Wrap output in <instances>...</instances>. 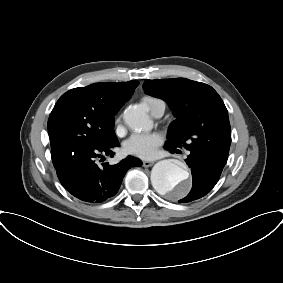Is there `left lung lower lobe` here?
Masks as SVG:
<instances>
[{
  "label": "left lung lower lobe",
  "instance_id": "left-lung-lower-lobe-1",
  "mask_svg": "<svg viewBox=\"0 0 283 283\" xmlns=\"http://www.w3.org/2000/svg\"><path fill=\"white\" fill-rule=\"evenodd\" d=\"M173 153L177 148L164 146ZM191 168L193 185L190 193L179 202H190L205 196L217 183L227 158H212L202 152L189 150L185 160Z\"/></svg>",
  "mask_w": 283,
  "mask_h": 283
}]
</instances>
